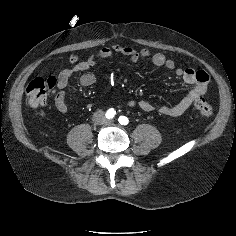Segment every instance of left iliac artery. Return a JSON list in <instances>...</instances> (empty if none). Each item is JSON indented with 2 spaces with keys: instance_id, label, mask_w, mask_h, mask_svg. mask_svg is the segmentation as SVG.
Returning <instances> with one entry per match:
<instances>
[{
  "instance_id": "1",
  "label": "left iliac artery",
  "mask_w": 236,
  "mask_h": 236,
  "mask_svg": "<svg viewBox=\"0 0 236 236\" xmlns=\"http://www.w3.org/2000/svg\"><path fill=\"white\" fill-rule=\"evenodd\" d=\"M118 121L122 125H127L129 123V120L125 116H119Z\"/></svg>"
}]
</instances>
